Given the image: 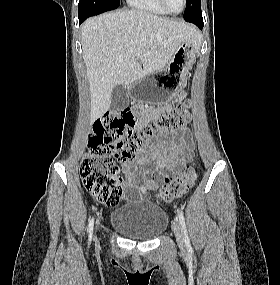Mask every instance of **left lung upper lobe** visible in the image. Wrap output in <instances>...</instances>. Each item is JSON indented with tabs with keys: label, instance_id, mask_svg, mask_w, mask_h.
I'll list each match as a JSON object with an SVG mask.
<instances>
[{
	"label": "left lung upper lobe",
	"instance_id": "obj_1",
	"mask_svg": "<svg viewBox=\"0 0 280 285\" xmlns=\"http://www.w3.org/2000/svg\"><path fill=\"white\" fill-rule=\"evenodd\" d=\"M184 19L185 21L192 23L199 22L203 19L200 0H187Z\"/></svg>",
	"mask_w": 280,
	"mask_h": 285
}]
</instances>
